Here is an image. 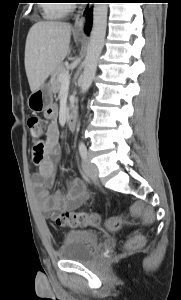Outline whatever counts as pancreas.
I'll return each instance as SVG.
<instances>
[{
  "label": "pancreas",
  "instance_id": "obj_1",
  "mask_svg": "<svg viewBox=\"0 0 181 300\" xmlns=\"http://www.w3.org/2000/svg\"><path fill=\"white\" fill-rule=\"evenodd\" d=\"M66 72H67V70H66L63 63H60L56 67V69L52 72L50 83H51V86H52V89H53L54 93H58L59 90L61 89L62 83L59 80V76L63 73H66Z\"/></svg>",
  "mask_w": 181,
  "mask_h": 300
}]
</instances>
